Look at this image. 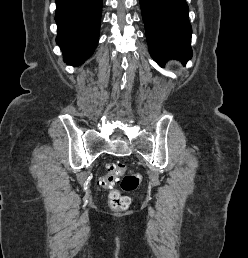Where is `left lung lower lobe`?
I'll return each mask as SVG.
<instances>
[{
	"label": "left lung lower lobe",
	"instance_id": "1",
	"mask_svg": "<svg viewBox=\"0 0 248 258\" xmlns=\"http://www.w3.org/2000/svg\"><path fill=\"white\" fill-rule=\"evenodd\" d=\"M148 47L159 64L192 57L191 25L185 0H139Z\"/></svg>",
	"mask_w": 248,
	"mask_h": 258
}]
</instances>
